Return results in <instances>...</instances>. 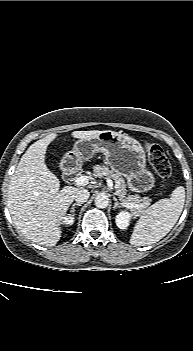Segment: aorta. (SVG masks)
<instances>
[{
    "instance_id": "1",
    "label": "aorta",
    "mask_w": 193,
    "mask_h": 351,
    "mask_svg": "<svg viewBox=\"0 0 193 351\" xmlns=\"http://www.w3.org/2000/svg\"><path fill=\"white\" fill-rule=\"evenodd\" d=\"M95 206L100 209H104L109 205V198L107 195L100 193L95 197Z\"/></svg>"
}]
</instances>
